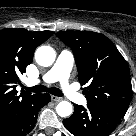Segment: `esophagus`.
Listing matches in <instances>:
<instances>
[{"instance_id":"34e87169","label":"esophagus","mask_w":136,"mask_h":136,"mask_svg":"<svg viewBox=\"0 0 136 136\" xmlns=\"http://www.w3.org/2000/svg\"><path fill=\"white\" fill-rule=\"evenodd\" d=\"M51 99H52V101H55V102H59V101L62 100L61 97H57V96H55V95H51Z\"/></svg>"}]
</instances>
